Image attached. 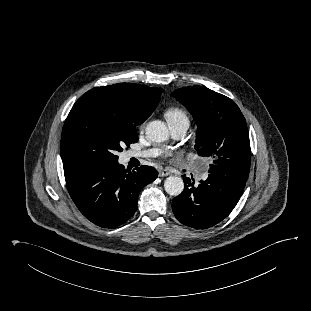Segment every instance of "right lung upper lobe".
<instances>
[{
  "mask_svg": "<svg viewBox=\"0 0 311 311\" xmlns=\"http://www.w3.org/2000/svg\"><path fill=\"white\" fill-rule=\"evenodd\" d=\"M162 92V88L119 83L93 88L87 94L103 93L113 97L130 110V119L133 123L142 124L155 110Z\"/></svg>",
  "mask_w": 311,
  "mask_h": 311,
  "instance_id": "cb5924a9",
  "label": "right lung upper lobe"
}]
</instances>
